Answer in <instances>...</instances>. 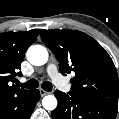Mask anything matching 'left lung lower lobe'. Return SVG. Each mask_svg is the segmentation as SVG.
<instances>
[{
	"instance_id": "0a47b994",
	"label": "left lung lower lobe",
	"mask_w": 119,
	"mask_h": 119,
	"mask_svg": "<svg viewBox=\"0 0 119 119\" xmlns=\"http://www.w3.org/2000/svg\"><path fill=\"white\" fill-rule=\"evenodd\" d=\"M58 106L53 119H115L118 105L86 99L73 93L54 92Z\"/></svg>"
}]
</instances>
